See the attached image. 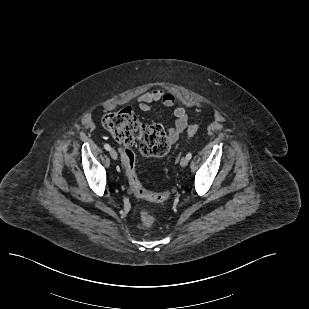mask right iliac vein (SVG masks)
<instances>
[{"instance_id":"right-iliac-vein-1","label":"right iliac vein","mask_w":309,"mask_h":309,"mask_svg":"<svg viewBox=\"0 0 309 309\" xmlns=\"http://www.w3.org/2000/svg\"><path fill=\"white\" fill-rule=\"evenodd\" d=\"M110 156L114 160H117V158H118L117 152L114 149L110 150Z\"/></svg>"}]
</instances>
